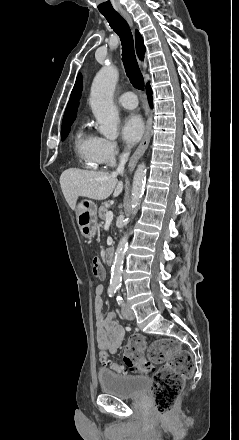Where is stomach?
I'll list each match as a JSON object with an SVG mask.
<instances>
[{"label":"stomach","mask_w":239,"mask_h":440,"mask_svg":"<svg viewBox=\"0 0 239 440\" xmlns=\"http://www.w3.org/2000/svg\"><path fill=\"white\" fill-rule=\"evenodd\" d=\"M76 220L84 238H94L97 232V206L91 200H81L77 204Z\"/></svg>","instance_id":"stomach-1"}]
</instances>
